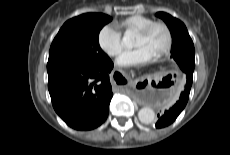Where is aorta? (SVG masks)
I'll use <instances>...</instances> for the list:
<instances>
[{
	"instance_id": "1",
	"label": "aorta",
	"mask_w": 230,
	"mask_h": 155,
	"mask_svg": "<svg viewBox=\"0 0 230 155\" xmlns=\"http://www.w3.org/2000/svg\"><path fill=\"white\" fill-rule=\"evenodd\" d=\"M123 39H124V41H127L129 39V35L125 34ZM138 118H139L140 122H142L144 124H151L155 121V112L150 107H144V108L139 110Z\"/></svg>"
}]
</instances>
